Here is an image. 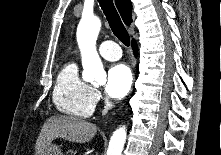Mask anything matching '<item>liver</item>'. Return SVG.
Segmentation results:
<instances>
[{
	"label": "liver",
	"mask_w": 221,
	"mask_h": 155,
	"mask_svg": "<svg viewBox=\"0 0 221 155\" xmlns=\"http://www.w3.org/2000/svg\"><path fill=\"white\" fill-rule=\"evenodd\" d=\"M97 132V126L80 118L56 115L44 123L35 145V155H42L57 138L70 142L86 143Z\"/></svg>",
	"instance_id": "6515ba94"
}]
</instances>
